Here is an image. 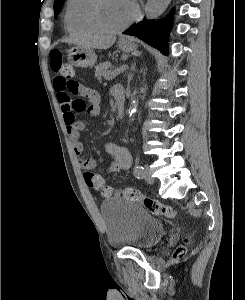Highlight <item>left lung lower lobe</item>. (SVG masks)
<instances>
[{
  "instance_id": "obj_1",
  "label": "left lung lower lobe",
  "mask_w": 245,
  "mask_h": 300,
  "mask_svg": "<svg viewBox=\"0 0 245 300\" xmlns=\"http://www.w3.org/2000/svg\"><path fill=\"white\" fill-rule=\"evenodd\" d=\"M174 8L162 20H145L131 26L123 33L136 36L147 44L158 48L163 54L168 55V37L172 27Z\"/></svg>"
}]
</instances>
